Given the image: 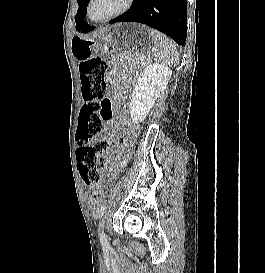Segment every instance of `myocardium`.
<instances>
[{"label":"myocardium","instance_id":"1","mask_svg":"<svg viewBox=\"0 0 265 273\" xmlns=\"http://www.w3.org/2000/svg\"><path fill=\"white\" fill-rule=\"evenodd\" d=\"M133 2H134V0H125L122 7H120L117 11H115L111 15H108V16L100 18V19H95L91 15V5L93 3V0H89L88 4H87V7H86V14H87L88 19L91 22H94V23L108 22V21L116 19V18L120 17L121 15H123L124 13H126L132 7Z\"/></svg>","mask_w":265,"mask_h":273}]
</instances>
